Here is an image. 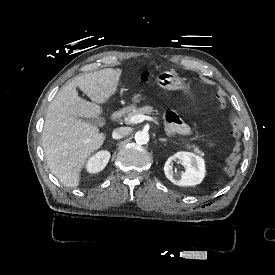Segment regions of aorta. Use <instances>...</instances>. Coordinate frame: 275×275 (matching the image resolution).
<instances>
[{"label":"aorta","mask_w":275,"mask_h":275,"mask_svg":"<svg viewBox=\"0 0 275 275\" xmlns=\"http://www.w3.org/2000/svg\"><path fill=\"white\" fill-rule=\"evenodd\" d=\"M135 141L137 144L144 145L149 142V134L146 131H140L135 134Z\"/></svg>","instance_id":"obj_1"}]
</instances>
